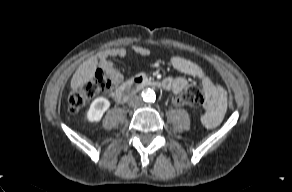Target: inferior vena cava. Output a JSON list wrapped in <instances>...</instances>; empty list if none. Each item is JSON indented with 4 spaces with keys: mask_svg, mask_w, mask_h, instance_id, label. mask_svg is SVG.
<instances>
[{
    "mask_svg": "<svg viewBox=\"0 0 292 192\" xmlns=\"http://www.w3.org/2000/svg\"><path fill=\"white\" fill-rule=\"evenodd\" d=\"M128 105L134 108H138L143 105V100L138 96H133L128 100Z\"/></svg>",
    "mask_w": 292,
    "mask_h": 192,
    "instance_id": "obj_1",
    "label": "inferior vena cava"
}]
</instances>
